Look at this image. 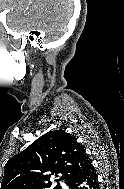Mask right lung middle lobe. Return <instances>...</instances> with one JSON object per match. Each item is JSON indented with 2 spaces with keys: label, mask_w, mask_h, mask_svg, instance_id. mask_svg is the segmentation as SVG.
Masks as SVG:
<instances>
[{
  "label": "right lung middle lobe",
  "mask_w": 124,
  "mask_h": 189,
  "mask_svg": "<svg viewBox=\"0 0 124 189\" xmlns=\"http://www.w3.org/2000/svg\"><path fill=\"white\" fill-rule=\"evenodd\" d=\"M51 188H53L52 186H51V184H48V185H44V186H41V187H39L38 189H51ZM61 187H59L58 185L57 186H55L53 189H60Z\"/></svg>",
  "instance_id": "obj_1"
}]
</instances>
